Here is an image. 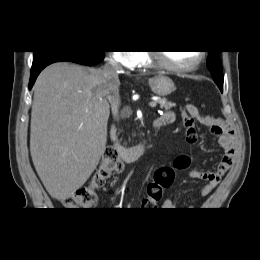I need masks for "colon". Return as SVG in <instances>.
<instances>
[{
  "label": "colon",
  "mask_w": 260,
  "mask_h": 260,
  "mask_svg": "<svg viewBox=\"0 0 260 260\" xmlns=\"http://www.w3.org/2000/svg\"><path fill=\"white\" fill-rule=\"evenodd\" d=\"M199 110L193 104H187L182 113V120L185 127V138L189 143H195L198 133L195 128V118ZM190 164V158L181 155L177 157L170 166L159 167L153 179L149 182L146 192V201L157 204L165 190L170 188L174 182L175 171L184 169ZM121 168V162L117 153L112 149H106L102 162L94 173L90 184L78 189L74 194L64 200L65 206L74 209H85L91 207L95 200V190L106 186L113 174Z\"/></svg>",
  "instance_id": "5ec220e1"
}]
</instances>
